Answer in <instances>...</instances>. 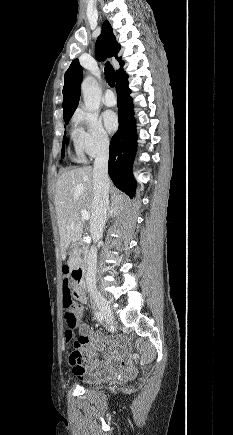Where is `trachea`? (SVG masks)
I'll return each instance as SVG.
<instances>
[{"label": "trachea", "instance_id": "1", "mask_svg": "<svg viewBox=\"0 0 233 435\" xmlns=\"http://www.w3.org/2000/svg\"><path fill=\"white\" fill-rule=\"evenodd\" d=\"M104 70H105V78L107 80V83L110 86H114V84H115V71H114V68L112 67V65L109 62H107L105 64V69Z\"/></svg>", "mask_w": 233, "mask_h": 435}]
</instances>
